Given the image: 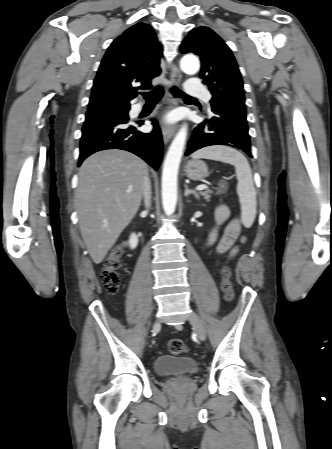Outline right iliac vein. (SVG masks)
Here are the masks:
<instances>
[{
	"instance_id": "obj_1",
	"label": "right iliac vein",
	"mask_w": 332,
	"mask_h": 449,
	"mask_svg": "<svg viewBox=\"0 0 332 449\" xmlns=\"http://www.w3.org/2000/svg\"><path fill=\"white\" fill-rule=\"evenodd\" d=\"M160 326V322L159 321H156L155 323H154V325H153V328L155 329V328H157V327H159Z\"/></svg>"
}]
</instances>
